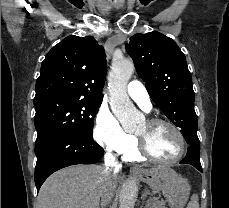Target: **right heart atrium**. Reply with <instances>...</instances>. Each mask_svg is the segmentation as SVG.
Masks as SVG:
<instances>
[{"label": "right heart atrium", "instance_id": "right-heart-atrium-1", "mask_svg": "<svg viewBox=\"0 0 229 208\" xmlns=\"http://www.w3.org/2000/svg\"><path fill=\"white\" fill-rule=\"evenodd\" d=\"M92 132L97 144L106 150L128 154L137 149V139L120 126L107 108L101 107L98 110Z\"/></svg>", "mask_w": 229, "mask_h": 208}]
</instances>
